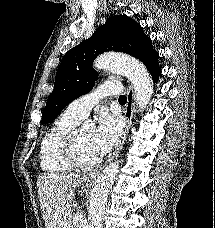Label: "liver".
I'll return each instance as SVG.
<instances>
[{
	"mask_svg": "<svg viewBox=\"0 0 215 228\" xmlns=\"http://www.w3.org/2000/svg\"><path fill=\"white\" fill-rule=\"evenodd\" d=\"M81 174H41L37 180L38 198L45 228H70L74 188L81 186Z\"/></svg>",
	"mask_w": 215,
	"mask_h": 228,
	"instance_id": "liver-1",
	"label": "liver"
}]
</instances>
